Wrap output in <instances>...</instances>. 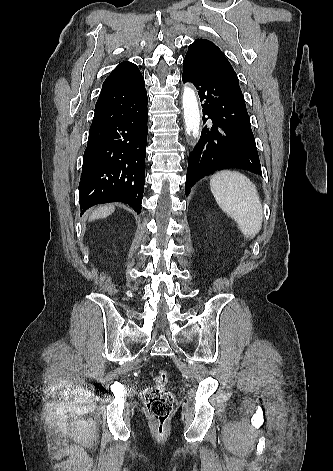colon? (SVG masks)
Segmentation results:
<instances>
[{"mask_svg":"<svg viewBox=\"0 0 333 471\" xmlns=\"http://www.w3.org/2000/svg\"><path fill=\"white\" fill-rule=\"evenodd\" d=\"M168 372L160 370L154 384L144 392V402L158 433L166 429L173 407V396L167 388Z\"/></svg>","mask_w":333,"mask_h":471,"instance_id":"5ec220e1","label":"colon"}]
</instances>
